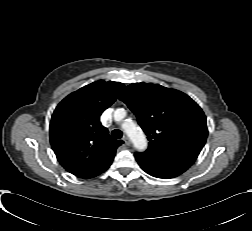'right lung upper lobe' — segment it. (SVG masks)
Masks as SVG:
<instances>
[{
    "mask_svg": "<svg viewBox=\"0 0 252 231\" xmlns=\"http://www.w3.org/2000/svg\"><path fill=\"white\" fill-rule=\"evenodd\" d=\"M124 87L119 82H93L71 93L56 107L50 143L60 164L80 178H93L111 165L123 141L112 139L100 115Z\"/></svg>",
    "mask_w": 252,
    "mask_h": 231,
    "instance_id": "right-lung-upper-lobe-1",
    "label": "right lung upper lobe"
}]
</instances>
